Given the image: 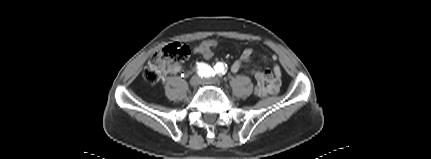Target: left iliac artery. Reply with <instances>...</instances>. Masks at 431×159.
<instances>
[{
	"mask_svg": "<svg viewBox=\"0 0 431 159\" xmlns=\"http://www.w3.org/2000/svg\"><path fill=\"white\" fill-rule=\"evenodd\" d=\"M225 72H226V69H225V65L223 63L218 62L214 66L213 75H215V74L223 75V74H225Z\"/></svg>",
	"mask_w": 431,
	"mask_h": 159,
	"instance_id": "1",
	"label": "left iliac artery"
}]
</instances>
